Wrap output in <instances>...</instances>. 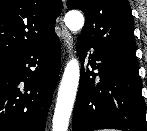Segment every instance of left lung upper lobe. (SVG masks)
Masks as SVG:
<instances>
[{"label": "left lung upper lobe", "mask_w": 147, "mask_h": 131, "mask_svg": "<svg viewBox=\"0 0 147 131\" xmlns=\"http://www.w3.org/2000/svg\"><path fill=\"white\" fill-rule=\"evenodd\" d=\"M67 7L85 14V25L78 39L139 68L128 0H68Z\"/></svg>", "instance_id": "obj_1"}]
</instances>
